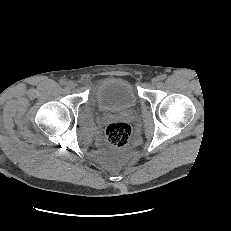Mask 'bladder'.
I'll return each instance as SVG.
<instances>
[{
  "mask_svg": "<svg viewBox=\"0 0 231 231\" xmlns=\"http://www.w3.org/2000/svg\"><path fill=\"white\" fill-rule=\"evenodd\" d=\"M94 100L102 111H121L136 106L138 97L130 81L122 77H107L94 89Z\"/></svg>",
  "mask_w": 231,
  "mask_h": 231,
  "instance_id": "obj_1",
  "label": "bladder"
}]
</instances>
